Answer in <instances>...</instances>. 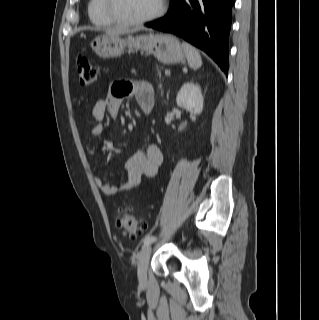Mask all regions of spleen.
<instances>
[{"mask_svg":"<svg viewBox=\"0 0 319 320\" xmlns=\"http://www.w3.org/2000/svg\"><path fill=\"white\" fill-rule=\"evenodd\" d=\"M183 50L186 54L188 65L192 69H198L202 65V59L199 52L189 43H182Z\"/></svg>","mask_w":319,"mask_h":320,"instance_id":"spleen-1","label":"spleen"}]
</instances>
